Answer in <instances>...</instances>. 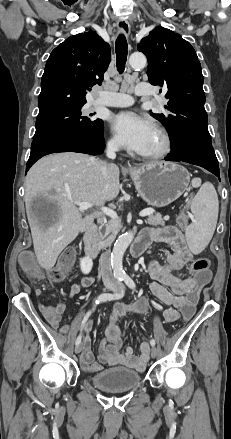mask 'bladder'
Here are the masks:
<instances>
[{"mask_svg":"<svg viewBox=\"0 0 231 439\" xmlns=\"http://www.w3.org/2000/svg\"><path fill=\"white\" fill-rule=\"evenodd\" d=\"M90 382L96 388L106 391H123L137 387L141 375L125 367L106 369L90 377Z\"/></svg>","mask_w":231,"mask_h":439,"instance_id":"31cf9c89","label":"bladder"}]
</instances>
